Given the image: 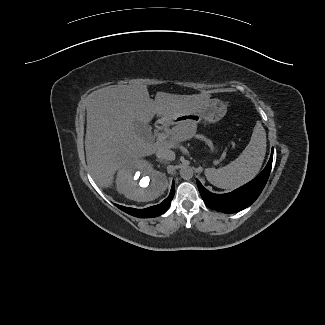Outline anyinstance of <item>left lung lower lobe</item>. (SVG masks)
Segmentation results:
<instances>
[{
	"instance_id": "obj_1",
	"label": "left lung lower lobe",
	"mask_w": 325,
	"mask_h": 325,
	"mask_svg": "<svg viewBox=\"0 0 325 325\" xmlns=\"http://www.w3.org/2000/svg\"><path fill=\"white\" fill-rule=\"evenodd\" d=\"M273 149L264 170L252 181L226 194H214L202 186L199 180L197 186L204 203L211 209L223 213H235L250 206L262 192L272 167Z\"/></svg>"
}]
</instances>
